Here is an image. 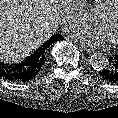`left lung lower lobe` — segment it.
I'll list each match as a JSON object with an SVG mask.
<instances>
[{"mask_svg":"<svg viewBox=\"0 0 118 118\" xmlns=\"http://www.w3.org/2000/svg\"><path fill=\"white\" fill-rule=\"evenodd\" d=\"M99 74L103 80L118 84V54L108 59L107 66L102 71H99Z\"/></svg>","mask_w":118,"mask_h":118,"instance_id":"1","label":"left lung lower lobe"}]
</instances>
